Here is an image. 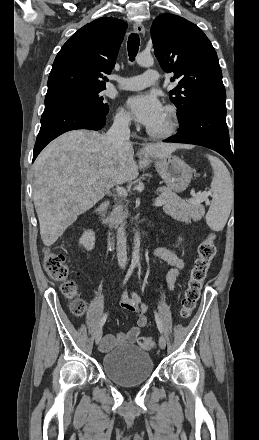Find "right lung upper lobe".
<instances>
[{"mask_svg":"<svg viewBox=\"0 0 259 440\" xmlns=\"http://www.w3.org/2000/svg\"><path fill=\"white\" fill-rule=\"evenodd\" d=\"M127 24L102 17L74 33L57 54L48 78L47 94L84 87L105 88L115 65Z\"/></svg>","mask_w":259,"mask_h":440,"instance_id":"1","label":"right lung upper lobe"}]
</instances>
